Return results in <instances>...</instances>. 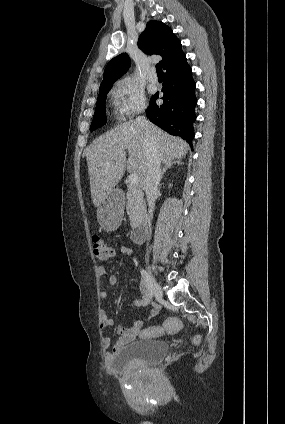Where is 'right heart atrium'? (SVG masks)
Here are the masks:
<instances>
[{"label": "right heart atrium", "mask_w": 285, "mask_h": 424, "mask_svg": "<svg viewBox=\"0 0 285 424\" xmlns=\"http://www.w3.org/2000/svg\"><path fill=\"white\" fill-rule=\"evenodd\" d=\"M114 106L122 119L131 118L146 108L143 88L132 78L119 79L113 89Z\"/></svg>", "instance_id": "d8ad5b80"}]
</instances>
